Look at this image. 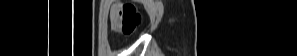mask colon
<instances>
[{
  "mask_svg": "<svg viewBox=\"0 0 297 56\" xmlns=\"http://www.w3.org/2000/svg\"><path fill=\"white\" fill-rule=\"evenodd\" d=\"M117 13L119 16L118 31L130 35L135 32L141 22V14L131 3H122L118 6Z\"/></svg>",
  "mask_w": 297,
  "mask_h": 56,
  "instance_id": "colon-1",
  "label": "colon"
}]
</instances>
